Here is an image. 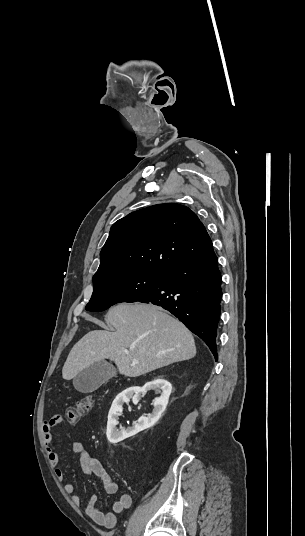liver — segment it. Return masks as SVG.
<instances>
[{"label": "liver", "instance_id": "1", "mask_svg": "<svg viewBox=\"0 0 305 536\" xmlns=\"http://www.w3.org/2000/svg\"><path fill=\"white\" fill-rule=\"evenodd\" d=\"M116 332L94 330L73 346L63 366L64 380H72L94 362L111 360L119 374L136 378L173 362L196 356L194 338L176 318L152 304H118L105 316ZM101 326V322L96 320ZM132 360L139 364L131 366Z\"/></svg>", "mask_w": 305, "mask_h": 536}]
</instances>
